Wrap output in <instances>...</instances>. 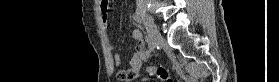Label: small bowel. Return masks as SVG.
<instances>
[{
  "instance_id": "small-bowel-1",
  "label": "small bowel",
  "mask_w": 279,
  "mask_h": 82,
  "mask_svg": "<svg viewBox=\"0 0 279 82\" xmlns=\"http://www.w3.org/2000/svg\"><path fill=\"white\" fill-rule=\"evenodd\" d=\"M99 8L102 13V20L104 24L107 26V20H108V9H109V1L107 0H100L99 1ZM133 37L136 40V44L134 47V53L132 54V57L129 59L128 67L124 70H120L117 74L118 78L121 81H128L134 76H136L139 73L140 66L142 60L145 58V44L140 36V33L138 30H134ZM109 49H111V46H109ZM112 63L114 66H119L121 63V55L119 53H113L112 54ZM123 73V75L121 74Z\"/></svg>"
}]
</instances>
